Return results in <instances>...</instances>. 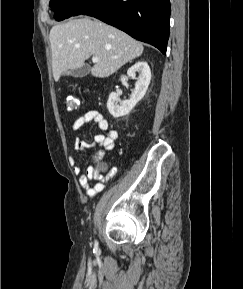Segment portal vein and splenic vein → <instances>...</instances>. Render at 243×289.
Here are the masks:
<instances>
[{
    "label": "portal vein and splenic vein",
    "instance_id": "1",
    "mask_svg": "<svg viewBox=\"0 0 243 289\" xmlns=\"http://www.w3.org/2000/svg\"><path fill=\"white\" fill-rule=\"evenodd\" d=\"M93 63H97L99 61V58L97 56L92 57Z\"/></svg>",
    "mask_w": 243,
    "mask_h": 289
}]
</instances>
